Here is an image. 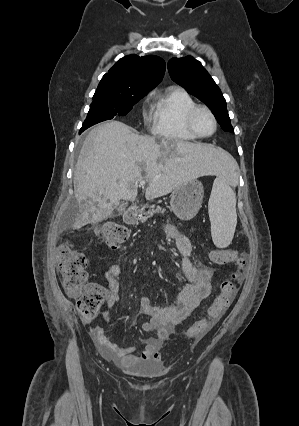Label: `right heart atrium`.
<instances>
[{
  "label": "right heart atrium",
  "mask_w": 299,
  "mask_h": 426,
  "mask_svg": "<svg viewBox=\"0 0 299 426\" xmlns=\"http://www.w3.org/2000/svg\"><path fill=\"white\" fill-rule=\"evenodd\" d=\"M145 118L147 119L148 118V116L145 114Z\"/></svg>",
  "instance_id": "1"
}]
</instances>
